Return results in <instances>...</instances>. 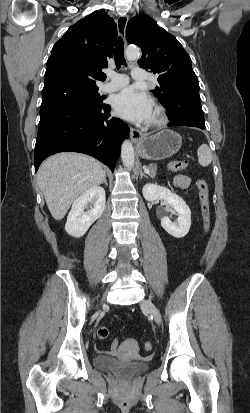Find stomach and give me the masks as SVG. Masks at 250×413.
<instances>
[{
	"mask_svg": "<svg viewBox=\"0 0 250 413\" xmlns=\"http://www.w3.org/2000/svg\"><path fill=\"white\" fill-rule=\"evenodd\" d=\"M182 145L181 136L172 130H163L142 137L137 144L139 155L148 160H161L176 154Z\"/></svg>",
	"mask_w": 250,
	"mask_h": 413,
	"instance_id": "0dacf381",
	"label": "stomach"
}]
</instances>
